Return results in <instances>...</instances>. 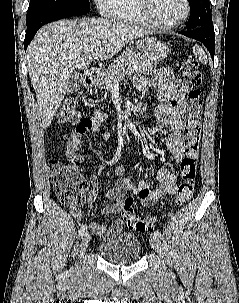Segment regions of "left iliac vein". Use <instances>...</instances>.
Wrapping results in <instances>:
<instances>
[{
  "instance_id": "left-iliac-vein-1",
  "label": "left iliac vein",
  "mask_w": 239,
  "mask_h": 303,
  "mask_svg": "<svg viewBox=\"0 0 239 303\" xmlns=\"http://www.w3.org/2000/svg\"><path fill=\"white\" fill-rule=\"evenodd\" d=\"M151 246L152 248L160 255L162 256V246H161V242L159 240V238L157 237H152L151 238Z\"/></svg>"
}]
</instances>
